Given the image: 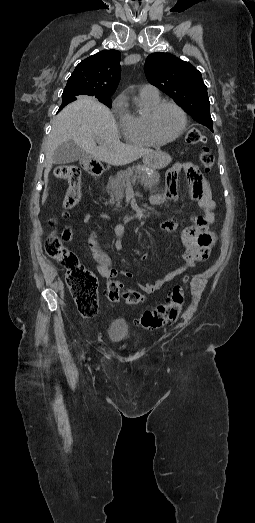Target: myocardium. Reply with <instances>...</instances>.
I'll use <instances>...</instances> for the list:
<instances>
[{"mask_svg": "<svg viewBox=\"0 0 255 523\" xmlns=\"http://www.w3.org/2000/svg\"><path fill=\"white\" fill-rule=\"evenodd\" d=\"M165 106L174 107L179 112L181 119H182V124H181L180 130L177 132L176 135H174L173 137H170V138L159 137L156 134L155 129H154V118H155L156 114L158 113V111ZM145 124H146V129H147L149 135L157 143L166 144V143H170V142L177 140L184 133V131L186 129V125H187V116H186L185 111L178 104H176L174 102H170V101H160L148 111L146 120H145Z\"/></svg>", "mask_w": 255, "mask_h": 523, "instance_id": "f54148a6", "label": "myocardium"}]
</instances>
